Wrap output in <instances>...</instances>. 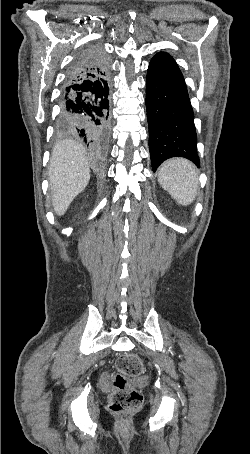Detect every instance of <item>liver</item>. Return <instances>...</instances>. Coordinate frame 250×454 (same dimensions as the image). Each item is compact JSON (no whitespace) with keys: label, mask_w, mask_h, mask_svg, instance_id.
<instances>
[{"label":"liver","mask_w":250,"mask_h":454,"mask_svg":"<svg viewBox=\"0 0 250 454\" xmlns=\"http://www.w3.org/2000/svg\"><path fill=\"white\" fill-rule=\"evenodd\" d=\"M89 180L90 168L83 146L72 140L58 142L52 151L49 166L54 212L62 216Z\"/></svg>","instance_id":"liver-1"}]
</instances>
